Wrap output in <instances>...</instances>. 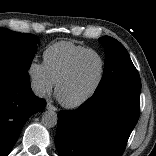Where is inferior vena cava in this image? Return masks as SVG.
I'll return each mask as SVG.
<instances>
[{
    "label": "inferior vena cava",
    "mask_w": 156,
    "mask_h": 156,
    "mask_svg": "<svg viewBox=\"0 0 156 156\" xmlns=\"http://www.w3.org/2000/svg\"><path fill=\"white\" fill-rule=\"evenodd\" d=\"M31 88H32L33 93L36 96H38L40 98L45 97V95H46V88H45L44 84H42V83H40L38 81L32 80Z\"/></svg>",
    "instance_id": "1"
}]
</instances>
